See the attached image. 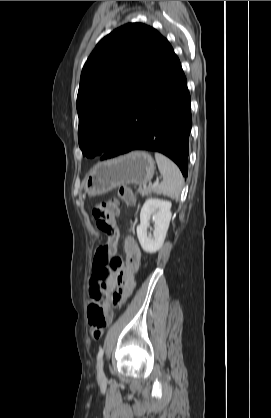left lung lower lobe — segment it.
Listing matches in <instances>:
<instances>
[{
  "mask_svg": "<svg viewBox=\"0 0 271 418\" xmlns=\"http://www.w3.org/2000/svg\"><path fill=\"white\" fill-rule=\"evenodd\" d=\"M191 127L187 81L172 49L101 159L132 150L156 151L172 159L187 176Z\"/></svg>",
  "mask_w": 271,
  "mask_h": 418,
  "instance_id": "0a47b994",
  "label": "left lung lower lobe"
}]
</instances>
